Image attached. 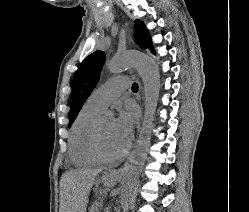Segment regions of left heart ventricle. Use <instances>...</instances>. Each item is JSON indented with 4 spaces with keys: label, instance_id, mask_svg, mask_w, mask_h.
Segmentation results:
<instances>
[{
    "label": "left heart ventricle",
    "instance_id": "b2bd125f",
    "mask_svg": "<svg viewBox=\"0 0 249 212\" xmlns=\"http://www.w3.org/2000/svg\"><path fill=\"white\" fill-rule=\"evenodd\" d=\"M114 120L112 118H103L99 131V142L101 149L107 155H117L121 153L114 140Z\"/></svg>",
    "mask_w": 249,
    "mask_h": 212
}]
</instances>
